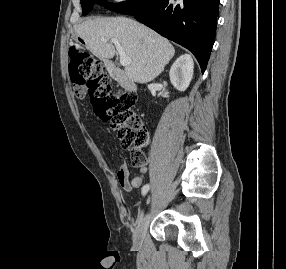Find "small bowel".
<instances>
[{"label":"small bowel","instance_id":"c3829d8e","mask_svg":"<svg viewBox=\"0 0 286 269\" xmlns=\"http://www.w3.org/2000/svg\"><path fill=\"white\" fill-rule=\"evenodd\" d=\"M79 97H84V93L81 90ZM140 172L138 175H136L132 180L129 178V169L126 164L122 163L120 164L118 170H117V181L119 185L122 187L123 190L129 192L133 188H140L144 181V176L147 172V167L144 164L139 168Z\"/></svg>","mask_w":286,"mask_h":269}]
</instances>
